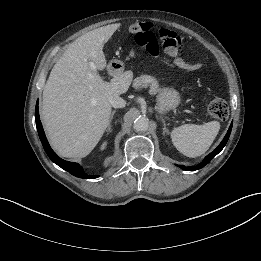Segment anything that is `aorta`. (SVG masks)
Listing matches in <instances>:
<instances>
[{"mask_svg": "<svg viewBox=\"0 0 261 261\" xmlns=\"http://www.w3.org/2000/svg\"><path fill=\"white\" fill-rule=\"evenodd\" d=\"M148 127H149V120L146 117H138L134 121V129L138 132L147 131Z\"/></svg>", "mask_w": 261, "mask_h": 261, "instance_id": "1", "label": "aorta"}]
</instances>
